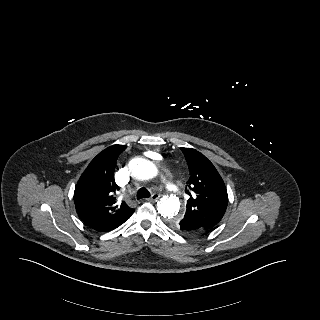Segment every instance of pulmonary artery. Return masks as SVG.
Masks as SVG:
<instances>
[{"label": "pulmonary artery", "instance_id": "obj_1", "mask_svg": "<svg viewBox=\"0 0 320 320\" xmlns=\"http://www.w3.org/2000/svg\"><path fill=\"white\" fill-rule=\"evenodd\" d=\"M161 178H162V181H163L164 183H166V182H165V176H164L163 174H161ZM166 185H167V187H168L169 189H173V187H172L171 185H169L168 183H166Z\"/></svg>", "mask_w": 320, "mask_h": 320}]
</instances>
